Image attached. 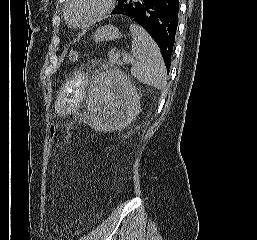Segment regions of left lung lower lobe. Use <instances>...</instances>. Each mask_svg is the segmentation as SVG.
Returning a JSON list of instances; mask_svg holds the SVG:
<instances>
[{"instance_id":"1","label":"left lung lower lobe","mask_w":257,"mask_h":240,"mask_svg":"<svg viewBox=\"0 0 257 240\" xmlns=\"http://www.w3.org/2000/svg\"><path fill=\"white\" fill-rule=\"evenodd\" d=\"M178 12L179 0H120L112 14L130 18L153 37L169 72Z\"/></svg>"}]
</instances>
